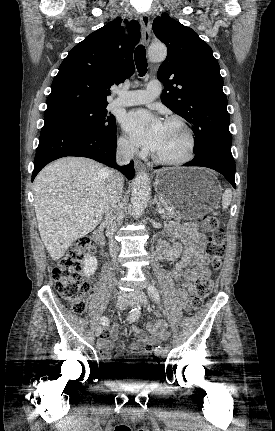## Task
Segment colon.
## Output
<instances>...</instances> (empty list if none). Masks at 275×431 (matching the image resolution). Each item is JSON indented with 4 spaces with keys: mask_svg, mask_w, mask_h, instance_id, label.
I'll return each instance as SVG.
<instances>
[{
    "mask_svg": "<svg viewBox=\"0 0 275 431\" xmlns=\"http://www.w3.org/2000/svg\"><path fill=\"white\" fill-rule=\"evenodd\" d=\"M201 230L208 234L206 253L211 259L214 267H219L225 253V238L223 229L215 215L206 214L200 220ZM92 250L87 239L79 242L66 252L52 270L55 288L62 299L69 303L72 311L76 314L84 313L86 309V295L90 289L89 283L81 275L82 263L87 253ZM211 291V278L208 271H204L196 280L194 298L191 301L190 311L196 312L208 297ZM150 346L145 350L149 351ZM156 365L159 360L152 357L149 361Z\"/></svg>",
    "mask_w": 275,
    "mask_h": 431,
    "instance_id": "1",
    "label": "colon"
}]
</instances>
